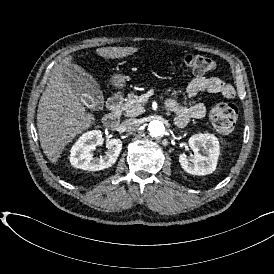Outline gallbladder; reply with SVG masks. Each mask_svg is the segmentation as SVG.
Listing matches in <instances>:
<instances>
[{
    "label": "gallbladder",
    "instance_id": "obj_1",
    "mask_svg": "<svg viewBox=\"0 0 274 274\" xmlns=\"http://www.w3.org/2000/svg\"><path fill=\"white\" fill-rule=\"evenodd\" d=\"M66 85L74 89L79 102L90 110H101L106 103L102 90L92 75L85 73L76 64H69L63 70Z\"/></svg>",
    "mask_w": 274,
    "mask_h": 274
}]
</instances>
